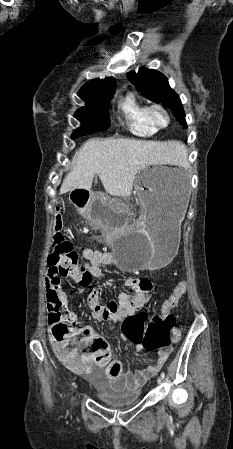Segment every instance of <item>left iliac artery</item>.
Masks as SVG:
<instances>
[{
	"instance_id": "1",
	"label": "left iliac artery",
	"mask_w": 233,
	"mask_h": 449,
	"mask_svg": "<svg viewBox=\"0 0 233 449\" xmlns=\"http://www.w3.org/2000/svg\"><path fill=\"white\" fill-rule=\"evenodd\" d=\"M161 376H162V378H165V373L162 372V373H161Z\"/></svg>"
}]
</instances>
